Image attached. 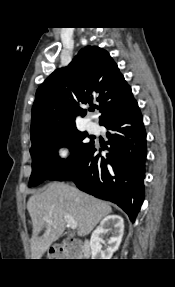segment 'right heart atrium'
Wrapping results in <instances>:
<instances>
[{
  "label": "right heart atrium",
  "mask_w": 175,
  "mask_h": 287,
  "mask_svg": "<svg viewBox=\"0 0 175 287\" xmlns=\"http://www.w3.org/2000/svg\"><path fill=\"white\" fill-rule=\"evenodd\" d=\"M70 153V148L66 143H60L55 149V155L59 160H65Z\"/></svg>",
  "instance_id": "d8ad5b80"
}]
</instances>
